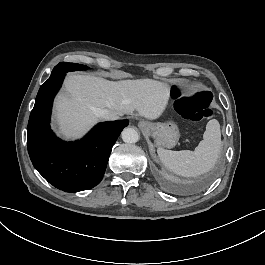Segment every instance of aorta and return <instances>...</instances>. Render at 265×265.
<instances>
[{"instance_id": "aorta-1", "label": "aorta", "mask_w": 265, "mask_h": 265, "mask_svg": "<svg viewBox=\"0 0 265 265\" xmlns=\"http://www.w3.org/2000/svg\"><path fill=\"white\" fill-rule=\"evenodd\" d=\"M121 135L126 143H135L139 140L138 132L134 128H124Z\"/></svg>"}]
</instances>
